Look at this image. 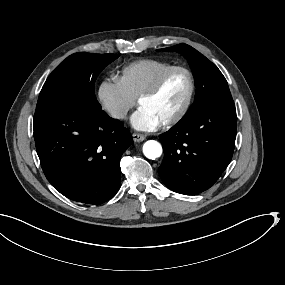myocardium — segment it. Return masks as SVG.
I'll use <instances>...</instances> for the list:
<instances>
[{"label": "myocardium", "instance_id": "f54148a6", "mask_svg": "<svg viewBox=\"0 0 285 285\" xmlns=\"http://www.w3.org/2000/svg\"><path fill=\"white\" fill-rule=\"evenodd\" d=\"M177 74H181L186 78L188 85L187 93L182 106L174 114L164 118L163 120H160V123L162 125L175 124L178 121H180L184 117V115L188 112L193 96V80L191 74L186 69L183 68L171 69L167 71L164 75H162L159 78V80L155 83V85L152 86L150 89H148L146 92H144L138 99V105H141L147 99L153 97L159 91H161L162 88L167 84V82Z\"/></svg>", "mask_w": 285, "mask_h": 285}]
</instances>
